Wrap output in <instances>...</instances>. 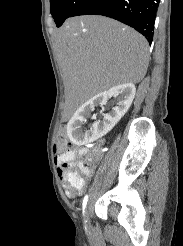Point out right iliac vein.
Returning a JSON list of instances; mask_svg holds the SVG:
<instances>
[{
	"label": "right iliac vein",
	"mask_w": 183,
	"mask_h": 246,
	"mask_svg": "<svg viewBox=\"0 0 183 246\" xmlns=\"http://www.w3.org/2000/svg\"><path fill=\"white\" fill-rule=\"evenodd\" d=\"M85 223L86 226L89 227L90 225V206L88 205L85 211Z\"/></svg>",
	"instance_id": "obj_1"
}]
</instances>
